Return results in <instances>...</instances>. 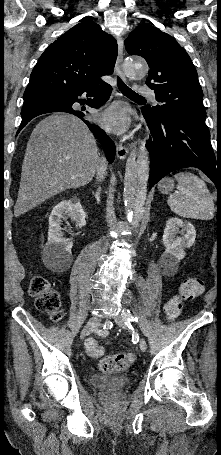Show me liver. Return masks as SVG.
Listing matches in <instances>:
<instances>
[{
	"instance_id": "liver-1",
	"label": "liver",
	"mask_w": 221,
	"mask_h": 455,
	"mask_svg": "<svg viewBox=\"0 0 221 455\" xmlns=\"http://www.w3.org/2000/svg\"><path fill=\"white\" fill-rule=\"evenodd\" d=\"M105 161L96 141L77 117L56 113L40 121L31 133L22 164L16 217L50 197L92 181Z\"/></svg>"
}]
</instances>
